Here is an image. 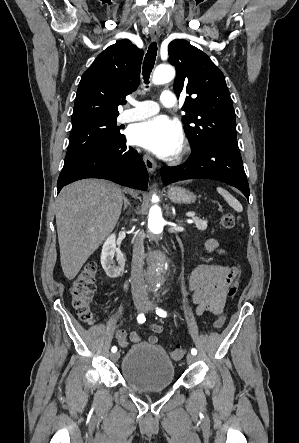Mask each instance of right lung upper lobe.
Here are the masks:
<instances>
[{
	"label": "right lung upper lobe",
	"mask_w": 299,
	"mask_h": 443,
	"mask_svg": "<svg viewBox=\"0 0 299 443\" xmlns=\"http://www.w3.org/2000/svg\"><path fill=\"white\" fill-rule=\"evenodd\" d=\"M143 50L128 39L100 53L81 77L72 124L96 117H117L118 105L137 89Z\"/></svg>",
	"instance_id": "cb5924a9"
}]
</instances>
